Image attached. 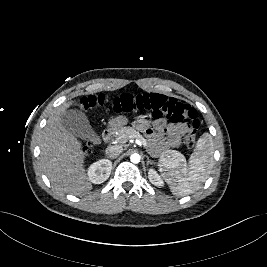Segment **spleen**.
Masks as SVG:
<instances>
[{"label":"spleen","instance_id":"3e777b00","mask_svg":"<svg viewBox=\"0 0 267 267\" xmlns=\"http://www.w3.org/2000/svg\"><path fill=\"white\" fill-rule=\"evenodd\" d=\"M213 164V140L204 133L197 141L187 165L184 156L176 152L170 159H162L160 171L174 195L185 196L198 190L210 173Z\"/></svg>","mask_w":267,"mask_h":267}]
</instances>
